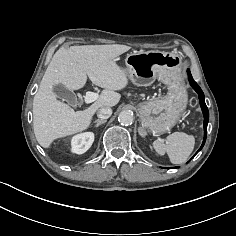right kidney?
Wrapping results in <instances>:
<instances>
[{
  "instance_id": "ca27d5eb",
  "label": "right kidney",
  "mask_w": 236,
  "mask_h": 236,
  "mask_svg": "<svg viewBox=\"0 0 236 236\" xmlns=\"http://www.w3.org/2000/svg\"><path fill=\"white\" fill-rule=\"evenodd\" d=\"M93 141L94 134L92 132L78 134L71 140V151L76 154H83L91 147Z\"/></svg>"
}]
</instances>
